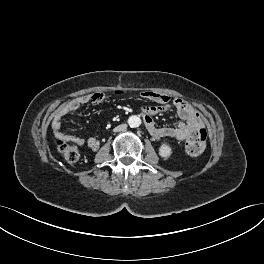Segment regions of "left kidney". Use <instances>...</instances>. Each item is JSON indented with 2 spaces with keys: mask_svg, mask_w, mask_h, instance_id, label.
I'll list each match as a JSON object with an SVG mask.
<instances>
[{
  "mask_svg": "<svg viewBox=\"0 0 264 264\" xmlns=\"http://www.w3.org/2000/svg\"><path fill=\"white\" fill-rule=\"evenodd\" d=\"M159 155L164 159H168L172 155V148L170 145L163 143L159 148Z\"/></svg>",
  "mask_w": 264,
  "mask_h": 264,
  "instance_id": "5707ae66",
  "label": "left kidney"
}]
</instances>
